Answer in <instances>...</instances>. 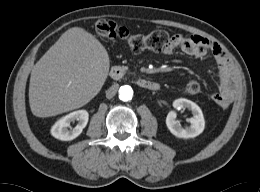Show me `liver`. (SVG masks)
Returning a JSON list of instances; mask_svg holds the SVG:
<instances>
[{
    "mask_svg": "<svg viewBox=\"0 0 260 192\" xmlns=\"http://www.w3.org/2000/svg\"><path fill=\"white\" fill-rule=\"evenodd\" d=\"M110 68L105 47L81 27L68 29L34 65L29 84L33 115L50 117L86 105Z\"/></svg>",
    "mask_w": 260,
    "mask_h": 192,
    "instance_id": "obj_1",
    "label": "liver"
}]
</instances>
